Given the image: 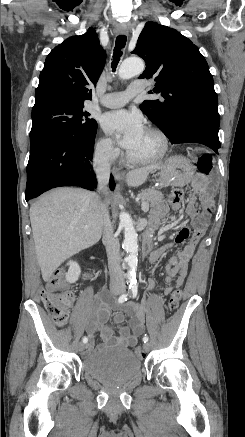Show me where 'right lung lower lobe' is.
<instances>
[{
    "label": "right lung lower lobe",
    "instance_id": "1",
    "mask_svg": "<svg viewBox=\"0 0 245 437\" xmlns=\"http://www.w3.org/2000/svg\"><path fill=\"white\" fill-rule=\"evenodd\" d=\"M94 139L95 135L86 141L68 142L55 135H46L31 145L26 201L60 186L79 185L93 190L97 184L90 166ZM109 187L115 188L112 176Z\"/></svg>",
    "mask_w": 245,
    "mask_h": 437
}]
</instances>
